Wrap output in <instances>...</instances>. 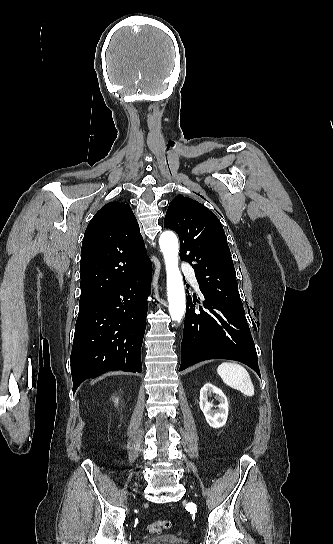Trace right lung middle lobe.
<instances>
[{
	"label": "right lung middle lobe",
	"instance_id": "1",
	"mask_svg": "<svg viewBox=\"0 0 333 544\" xmlns=\"http://www.w3.org/2000/svg\"><path fill=\"white\" fill-rule=\"evenodd\" d=\"M95 302H97V301H79V309L88 307V306L94 304Z\"/></svg>",
	"mask_w": 333,
	"mask_h": 544
}]
</instances>
